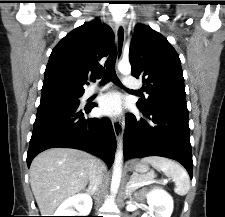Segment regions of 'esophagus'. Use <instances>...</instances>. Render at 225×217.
Here are the masks:
<instances>
[{"label":"esophagus","instance_id":"esophagus-1","mask_svg":"<svg viewBox=\"0 0 225 217\" xmlns=\"http://www.w3.org/2000/svg\"><path fill=\"white\" fill-rule=\"evenodd\" d=\"M125 36H126V29L123 23H118L116 25V31H115V37H116V48H117V60H120L124 43H125ZM114 133L117 140L121 139V136L123 134V125L118 120H113L112 122Z\"/></svg>","mask_w":225,"mask_h":217}]
</instances>
